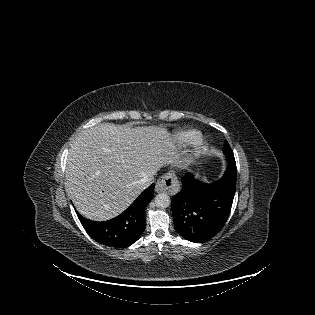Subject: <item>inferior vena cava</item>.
<instances>
[{"label": "inferior vena cava", "mask_w": 315, "mask_h": 315, "mask_svg": "<svg viewBox=\"0 0 315 315\" xmlns=\"http://www.w3.org/2000/svg\"><path fill=\"white\" fill-rule=\"evenodd\" d=\"M153 181H154V177L145 178V179L142 181V186H143L144 188H146V187L150 186Z\"/></svg>", "instance_id": "inferior-vena-cava-1"}]
</instances>
